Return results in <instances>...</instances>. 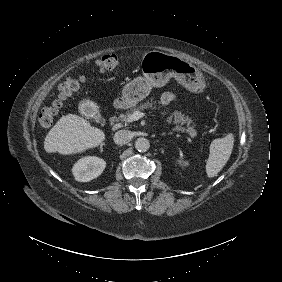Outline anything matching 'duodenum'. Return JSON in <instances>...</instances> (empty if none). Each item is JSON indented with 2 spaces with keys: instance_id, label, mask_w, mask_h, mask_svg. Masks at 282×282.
Returning a JSON list of instances; mask_svg holds the SVG:
<instances>
[{
  "instance_id": "410a0bca",
  "label": "duodenum",
  "mask_w": 282,
  "mask_h": 282,
  "mask_svg": "<svg viewBox=\"0 0 282 282\" xmlns=\"http://www.w3.org/2000/svg\"><path fill=\"white\" fill-rule=\"evenodd\" d=\"M123 107H124V104L121 101H117V102L114 103V108L115 109H121Z\"/></svg>"
}]
</instances>
